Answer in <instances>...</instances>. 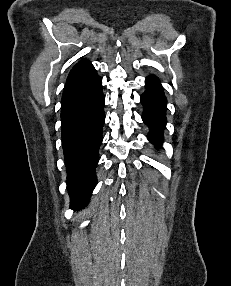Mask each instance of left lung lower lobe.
<instances>
[{
    "mask_svg": "<svg viewBox=\"0 0 231 286\" xmlns=\"http://www.w3.org/2000/svg\"><path fill=\"white\" fill-rule=\"evenodd\" d=\"M146 91L141 96L144 106L142 119L150 128L149 141L159 147L162 144V133L166 126V98L160 81L150 76L145 81Z\"/></svg>",
    "mask_w": 231,
    "mask_h": 286,
    "instance_id": "left-lung-lower-lobe-1",
    "label": "left lung lower lobe"
}]
</instances>
